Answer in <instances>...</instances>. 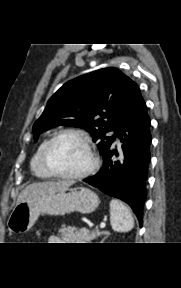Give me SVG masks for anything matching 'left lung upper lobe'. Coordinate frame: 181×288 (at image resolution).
Returning a JSON list of instances; mask_svg holds the SVG:
<instances>
[{
  "label": "left lung upper lobe",
  "mask_w": 181,
  "mask_h": 288,
  "mask_svg": "<svg viewBox=\"0 0 181 288\" xmlns=\"http://www.w3.org/2000/svg\"><path fill=\"white\" fill-rule=\"evenodd\" d=\"M139 91L138 85L117 68H104L65 83L48 101L33 126L34 139L59 125L80 127L98 141L106 154ZM97 115L101 118L97 119ZM115 131L112 136L106 133Z\"/></svg>",
  "instance_id": "obj_1"
}]
</instances>
